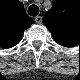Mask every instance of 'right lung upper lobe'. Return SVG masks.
Masks as SVG:
<instances>
[{"mask_svg":"<svg viewBox=\"0 0 80 80\" xmlns=\"http://www.w3.org/2000/svg\"><path fill=\"white\" fill-rule=\"evenodd\" d=\"M33 20L25 13L18 1L9 3L0 13V44L9 48L17 45L22 39L24 30L28 29Z\"/></svg>","mask_w":80,"mask_h":80,"instance_id":"1","label":"right lung upper lobe"}]
</instances>
